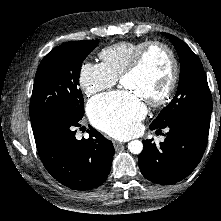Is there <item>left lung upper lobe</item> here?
Instances as JSON below:
<instances>
[{"label": "left lung upper lobe", "mask_w": 221, "mask_h": 221, "mask_svg": "<svg viewBox=\"0 0 221 221\" xmlns=\"http://www.w3.org/2000/svg\"><path fill=\"white\" fill-rule=\"evenodd\" d=\"M164 36L175 46L180 58L179 85L175 97L151 125L157 128H165L171 122L186 116L210 117L212 97L199 58L179 38L168 33H164Z\"/></svg>", "instance_id": "5c2ea615"}]
</instances>
